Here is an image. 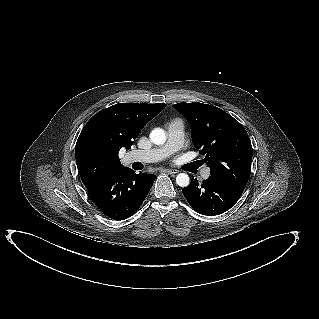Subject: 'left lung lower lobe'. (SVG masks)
<instances>
[{"label":"left lung lower lobe","instance_id":"left-lung-lower-lobe-1","mask_svg":"<svg viewBox=\"0 0 319 319\" xmlns=\"http://www.w3.org/2000/svg\"><path fill=\"white\" fill-rule=\"evenodd\" d=\"M244 189L211 175L199 184L197 179L182 189L190 206L202 215H216L229 210L238 201Z\"/></svg>","mask_w":319,"mask_h":319}]
</instances>
